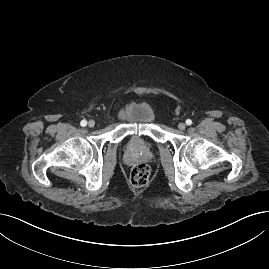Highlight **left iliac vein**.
<instances>
[{
  "instance_id": "1",
  "label": "left iliac vein",
  "mask_w": 269,
  "mask_h": 269,
  "mask_svg": "<svg viewBox=\"0 0 269 269\" xmlns=\"http://www.w3.org/2000/svg\"><path fill=\"white\" fill-rule=\"evenodd\" d=\"M178 128H179L180 130H184V129L186 128V124L183 123V122H181V123L178 124Z\"/></svg>"
}]
</instances>
